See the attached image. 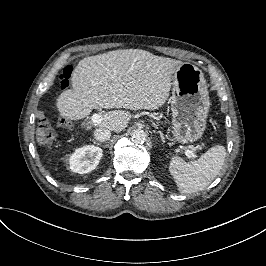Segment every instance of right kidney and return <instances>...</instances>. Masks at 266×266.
Wrapping results in <instances>:
<instances>
[{"mask_svg":"<svg viewBox=\"0 0 266 266\" xmlns=\"http://www.w3.org/2000/svg\"><path fill=\"white\" fill-rule=\"evenodd\" d=\"M103 150L94 145H86L77 148L70 156L72 159L73 171L85 174L94 170L102 158Z\"/></svg>","mask_w":266,"mask_h":266,"instance_id":"ca27d5eb","label":"right kidney"}]
</instances>
